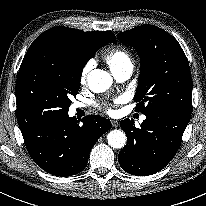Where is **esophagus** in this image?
Returning a JSON list of instances; mask_svg holds the SVG:
<instances>
[{
  "mask_svg": "<svg viewBox=\"0 0 206 206\" xmlns=\"http://www.w3.org/2000/svg\"><path fill=\"white\" fill-rule=\"evenodd\" d=\"M111 123H112L113 127H118L119 126V122L117 120H112Z\"/></svg>",
  "mask_w": 206,
  "mask_h": 206,
  "instance_id": "esophagus-1",
  "label": "esophagus"
}]
</instances>
